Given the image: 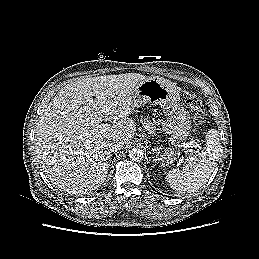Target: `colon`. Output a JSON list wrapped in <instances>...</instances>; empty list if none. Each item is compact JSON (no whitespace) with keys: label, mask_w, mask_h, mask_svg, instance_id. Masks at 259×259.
<instances>
[{"label":"colon","mask_w":259,"mask_h":259,"mask_svg":"<svg viewBox=\"0 0 259 259\" xmlns=\"http://www.w3.org/2000/svg\"><path fill=\"white\" fill-rule=\"evenodd\" d=\"M187 104L193 111V120L197 128L201 127L206 121V115L202 109V100L195 94L189 95Z\"/></svg>","instance_id":"colon-1"}]
</instances>
